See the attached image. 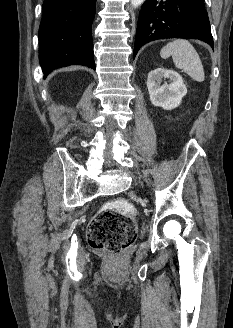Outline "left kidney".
Masks as SVG:
<instances>
[{
	"label": "left kidney",
	"instance_id": "obj_1",
	"mask_svg": "<svg viewBox=\"0 0 233 328\" xmlns=\"http://www.w3.org/2000/svg\"><path fill=\"white\" fill-rule=\"evenodd\" d=\"M170 79L171 83H162V79ZM147 88L151 103L156 107L171 110L178 107L182 98L187 94V88L182 77L173 70L163 67L148 73Z\"/></svg>",
	"mask_w": 233,
	"mask_h": 328
}]
</instances>
